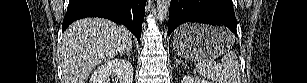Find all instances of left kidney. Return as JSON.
Instances as JSON below:
<instances>
[{
    "instance_id": "5707ae66",
    "label": "left kidney",
    "mask_w": 307,
    "mask_h": 83,
    "mask_svg": "<svg viewBox=\"0 0 307 83\" xmlns=\"http://www.w3.org/2000/svg\"><path fill=\"white\" fill-rule=\"evenodd\" d=\"M181 83H210V82L194 76H184L182 78Z\"/></svg>"
}]
</instances>
